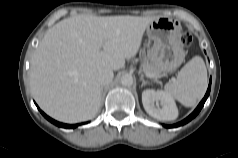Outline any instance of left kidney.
Wrapping results in <instances>:
<instances>
[{
    "instance_id": "left-kidney-1",
    "label": "left kidney",
    "mask_w": 238,
    "mask_h": 158,
    "mask_svg": "<svg viewBox=\"0 0 238 158\" xmlns=\"http://www.w3.org/2000/svg\"><path fill=\"white\" fill-rule=\"evenodd\" d=\"M142 103L145 111L160 121H171L178 117V109L173 98L162 90H144ZM160 103L161 107H159Z\"/></svg>"
}]
</instances>
